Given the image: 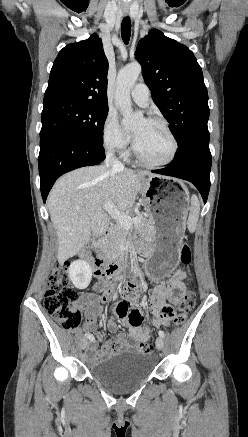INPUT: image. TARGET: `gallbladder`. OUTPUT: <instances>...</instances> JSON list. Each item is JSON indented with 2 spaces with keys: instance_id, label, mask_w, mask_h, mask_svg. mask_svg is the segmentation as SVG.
Returning a JSON list of instances; mask_svg holds the SVG:
<instances>
[{
  "instance_id": "obj_1",
  "label": "gallbladder",
  "mask_w": 248,
  "mask_h": 437,
  "mask_svg": "<svg viewBox=\"0 0 248 437\" xmlns=\"http://www.w3.org/2000/svg\"><path fill=\"white\" fill-rule=\"evenodd\" d=\"M94 236H91L90 240H89V244L92 242Z\"/></svg>"
}]
</instances>
